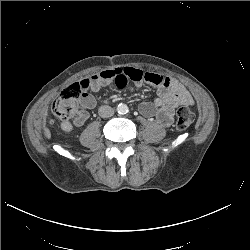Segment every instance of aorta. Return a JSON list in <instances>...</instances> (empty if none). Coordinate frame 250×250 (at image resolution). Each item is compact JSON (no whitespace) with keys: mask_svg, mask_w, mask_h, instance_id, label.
I'll return each mask as SVG.
<instances>
[{"mask_svg":"<svg viewBox=\"0 0 250 250\" xmlns=\"http://www.w3.org/2000/svg\"><path fill=\"white\" fill-rule=\"evenodd\" d=\"M116 110L119 114H126L128 112V106L126 104L120 103L117 105Z\"/></svg>","mask_w":250,"mask_h":250,"instance_id":"762f6f07","label":"aorta"}]
</instances>
